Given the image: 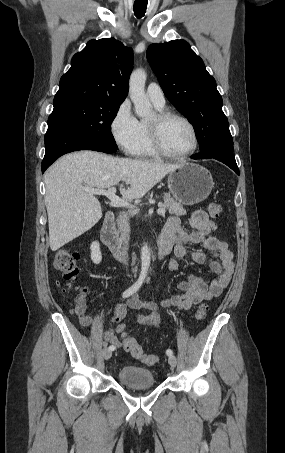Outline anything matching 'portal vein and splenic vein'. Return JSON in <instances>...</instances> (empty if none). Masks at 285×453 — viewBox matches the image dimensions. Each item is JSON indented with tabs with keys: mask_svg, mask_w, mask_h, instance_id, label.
Here are the masks:
<instances>
[{
	"mask_svg": "<svg viewBox=\"0 0 285 453\" xmlns=\"http://www.w3.org/2000/svg\"><path fill=\"white\" fill-rule=\"evenodd\" d=\"M84 190L90 194L95 195H105L110 200V205L115 207H132L126 200L121 199L118 197L116 193L115 187H110L108 190L104 189H96V188H84ZM158 214H165V208L160 206L157 210Z\"/></svg>",
	"mask_w": 285,
	"mask_h": 453,
	"instance_id": "18ae733b",
	"label": "portal vein and splenic vein"
}]
</instances>
